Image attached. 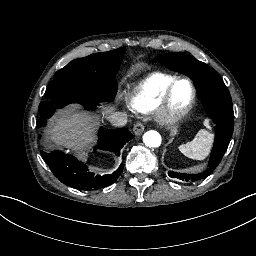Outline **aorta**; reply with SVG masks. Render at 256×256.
<instances>
[{"label":"aorta","mask_w":256,"mask_h":256,"mask_svg":"<svg viewBox=\"0 0 256 256\" xmlns=\"http://www.w3.org/2000/svg\"><path fill=\"white\" fill-rule=\"evenodd\" d=\"M143 142L148 147L156 148L161 145L162 137L157 131L150 130V131H147L146 133H144Z\"/></svg>","instance_id":"obj_1"}]
</instances>
